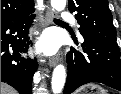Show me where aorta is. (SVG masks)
I'll list each match as a JSON object with an SVG mask.
<instances>
[{"instance_id": "aorta-1", "label": "aorta", "mask_w": 121, "mask_h": 94, "mask_svg": "<svg viewBox=\"0 0 121 94\" xmlns=\"http://www.w3.org/2000/svg\"><path fill=\"white\" fill-rule=\"evenodd\" d=\"M51 6L58 12L66 7V0H51ZM66 81L65 67L57 65L53 71L51 87L54 94H60Z\"/></svg>"}]
</instances>
